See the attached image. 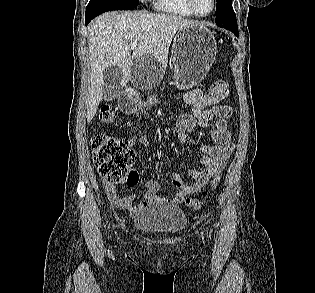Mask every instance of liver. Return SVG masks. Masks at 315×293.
I'll list each match as a JSON object with an SVG mask.
<instances>
[{
    "mask_svg": "<svg viewBox=\"0 0 315 293\" xmlns=\"http://www.w3.org/2000/svg\"><path fill=\"white\" fill-rule=\"evenodd\" d=\"M194 24L199 23L175 15L142 11L110 12L97 17L89 27L87 38L91 67L87 122L93 119L103 100L106 67L115 65L123 71L122 86L131 79L132 62L139 56L148 54L165 67L176 32ZM133 42L138 45L131 56Z\"/></svg>",
    "mask_w": 315,
    "mask_h": 293,
    "instance_id": "liver-1",
    "label": "liver"
}]
</instances>
